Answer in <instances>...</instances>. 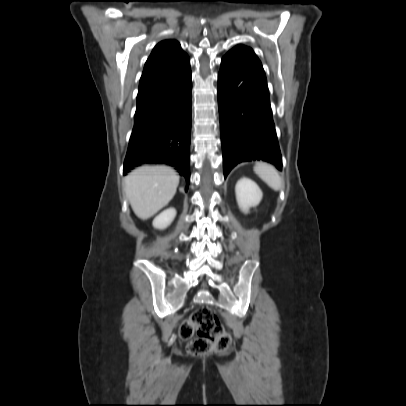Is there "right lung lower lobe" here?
<instances>
[{
  "mask_svg": "<svg viewBox=\"0 0 406 406\" xmlns=\"http://www.w3.org/2000/svg\"><path fill=\"white\" fill-rule=\"evenodd\" d=\"M191 104L190 66L172 80L137 95L124 174L144 163L168 164L185 177L188 189Z\"/></svg>",
  "mask_w": 406,
  "mask_h": 406,
  "instance_id": "1",
  "label": "right lung lower lobe"
}]
</instances>
